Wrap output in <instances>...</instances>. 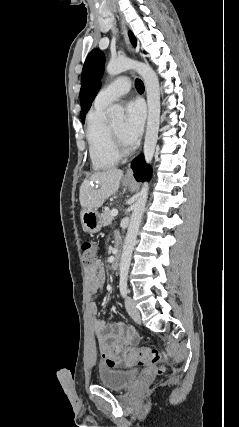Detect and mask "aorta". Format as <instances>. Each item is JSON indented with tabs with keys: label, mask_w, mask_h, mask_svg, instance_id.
Segmentation results:
<instances>
[{
	"label": "aorta",
	"mask_w": 239,
	"mask_h": 427,
	"mask_svg": "<svg viewBox=\"0 0 239 427\" xmlns=\"http://www.w3.org/2000/svg\"><path fill=\"white\" fill-rule=\"evenodd\" d=\"M130 69L135 70L142 77L146 88L148 119L144 142V158L146 163L150 164L154 156L160 124L159 80L154 70L148 64L136 62L127 58L110 61L106 67L107 73L111 76L118 75ZM107 113L110 116L112 122H121L124 120V108L120 105L114 104L110 106L107 109ZM147 197L148 183L145 182L139 192L137 201L133 205V212L131 215L120 261L121 277H126L128 275L132 252L136 243V238L147 202Z\"/></svg>",
	"instance_id": "aorta-1"
}]
</instances>
